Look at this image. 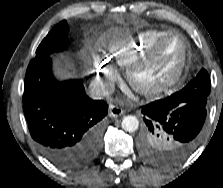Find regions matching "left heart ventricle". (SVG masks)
<instances>
[{
	"mask_svg": "<svg viewBox=\"0 0 223 188\" xmlns=\"http://www.w3.org/2000/svg\"><path fill=\"white\" fill-rule=\"evenodd\" d=\"M182 50V43L178 37L168 39L162 49L161 58L140 75L141 82L152 84L170 75L179 63Z\"/></svg>",
	"mask_w": 223,
	"mask_h": 188,
	"instance_id": "b2bd125f",
	"label": "left heart ventricle"
}]
</instances>
